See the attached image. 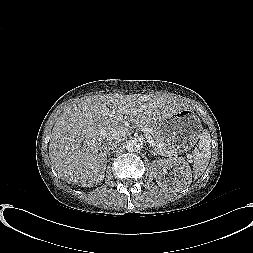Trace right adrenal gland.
<instances>
[{
    "label": "right adrenal gland",
    "instance_id": "1",
    "mask_svg": "<svg viewBox=\"0 0 253 253\" xmlns=\"http://www.w3.org/2000/svg\"><path fill=\"white\" fill-rule=\"evenodd\" d=\"M117 146V145H116ZM116 146H111V147H109V150H112L114 147H116ZM109 154H111V152H109Z\"/></svg>",
    "mask_w": 253,
    "mask_h": 253
}]
</instances>
